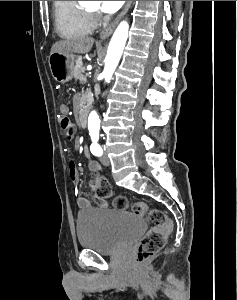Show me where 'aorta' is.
I'll return each mask as SVG.
<instances>
[{
    "mask_svg": "<svg viewBox=\"0 0 237 300\" xmlns=\"http://www.w3.org/2000/svg\"><path fill=\"white\" fill-rule=\"evenodd\" d=\"M128 31H129V25L127 21H122V23L118 25L109 43V47L105 59L104 71L103 73H101L106 83H109V81H111L113 77V73L122 57V53L124 51V47L128 39ZM88 129L89 131H91V129H100V119L96 111H91L88 117Z\"/></svg>",
    "mask_w": 237,
    "mask_h": 300,
    "instance_id": "obj_1",
    "label": "aorta"
}]
</instances>
